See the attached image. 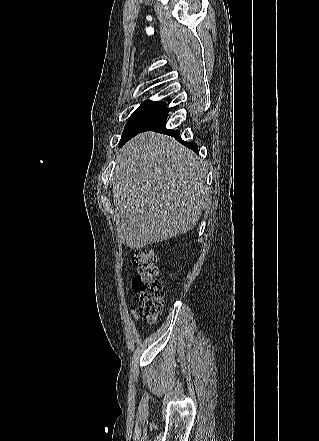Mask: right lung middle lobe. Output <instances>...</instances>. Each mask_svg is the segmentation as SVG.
Wrapping results in <instances>:
<instances>
[{
	"label": "right lung middle lobe",
	"mask_w": 319,
	"mask_h": 441,
	"mask_svg": "<svg viewBox=\"0 0 319 441\" xmlns=\"http://www.w3.org/2000/svg\"><path fill=\"white\" fill-rule=\"evenodd\" d=\"M169 112L164 102L145 101L131 115L122 134L119 146L124 145L128 140L142 132L165 113Z\"/></svg>",
	"instance_id": "dd1d6c3e"
}]
</instances>
